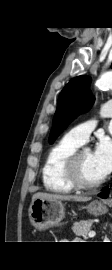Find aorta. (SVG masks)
I'll return each mask as SVG.
<instances>
[{
	"instance_id": "aorta-1",
	"label": "aorta",
	"mask_w": 112,
	"mask_h": 270,
	"mask_svg": "<svg viewBox=\"0 0 112 270\" xmlns=\"http://www.w3.org/2000/svg\"><path fill=\"white\" fill-rule=\"evenodd\" d=\"M100 89H112V72L104 73L96 82Z\"/></svg>"
}]
</instances>
